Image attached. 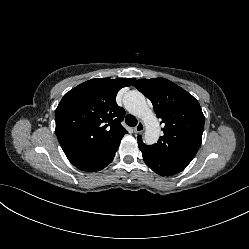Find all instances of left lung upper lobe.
Masks as SVG:
<instances>
[{
	"label": "left lung upper lobe",
	"mask_w": 249,
	"mask_h": 249,
	"mask_svg": "<svg viewBox=\"0 0 249 249\" xmlns=\"http://www.w3.org/2000/svg\"><path fill=\"white\" fill-rule=\"evenodd\" d=\"M133 86L152 102L164 125V135L154 145H145L138 137L140 150L156 158L189 164L200 147L204 128L198 101L164 78L140 79Z\"/></svg>",
	"instance_id": "1"
}]
</instances>
